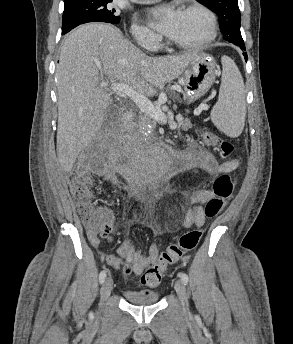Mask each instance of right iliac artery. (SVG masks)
I'll return each mask as SVG.
<instances>
[{
    "label": "right iliac artery",
    "instance_id": "1",
    "mask_svg": "<svg viewBox=\"0 0 293 344\" xmlns=\"http://www.w3.org/2000/svg\"><path fill=\"white\" fill-rule=\"evenodd\" d=\"M105 278H106V271L103 270L99 274V281H100V283H103L105 281Z\"/></svg>",
    "mask_w": 293,
    "mask_h": 344
}]
</instances>
